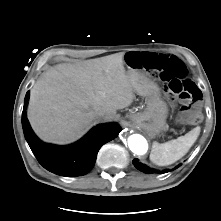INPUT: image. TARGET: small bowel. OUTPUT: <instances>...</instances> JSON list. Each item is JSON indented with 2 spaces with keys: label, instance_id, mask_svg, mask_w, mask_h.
Returning <instances> with one entry per match:
<instances>
[{
  "label": "small bowel",
  "instance_id": "c3829d8e",
  "mask_svg": "<svg viewBox=\"0 0 221 221\" xmlns=\"http://www.w3.org/2000/svg\"><path fill=\"white\" fill-rule=\"evenodd\" d=\"M138 56L142 57L145 53H136Z\"/></svg>",
  "mask_w": 221,
  "mask_h": 221
}]
</instances>
